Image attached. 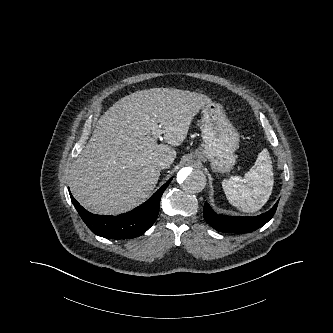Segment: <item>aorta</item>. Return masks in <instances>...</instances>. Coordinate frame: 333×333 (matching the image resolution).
I'll list each match as a JSON object with an SVG mask.
<instances>
[{
    "instance_id": "762f6f07",
    "label": "aorta",
    "mask_w": 333,
    "mask_h": 333,
    "mask_svg": "<svg viewBox=\"0 0 333 333\" xmlns=\"http://www.w3.org/2000/svg\"><path fill=\"white\" fill-rule=\"evenodd\" d=\"M177 182L187 193H199L206 186V176L199 169L183 168L177 173Z\"/></svg>"
}]
</instances>
